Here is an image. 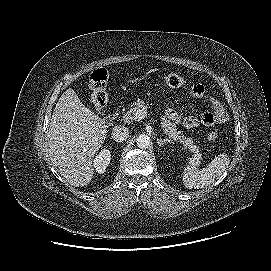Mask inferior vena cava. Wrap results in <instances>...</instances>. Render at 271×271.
<instances>
[{"mask_svg":"<svg viewBox=\"0 0 271 271\" xmlns=\"http://www.w3.org/2000/svg\"><path fill=\"white\" fill-rule=\"evenodd\" d=\"M111 135L114 141L123 142L128 138L129 130L125 126L117 125L114 126Z\"/></svg>","mask_w":271,"mask_h":271,"instance_id":"602c4592","label":"inferior vena cava"}]
</instances>
